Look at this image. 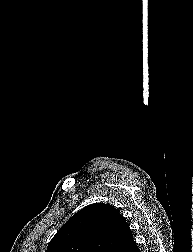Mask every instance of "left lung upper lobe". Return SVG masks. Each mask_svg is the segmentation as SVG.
Returning <instances> with one entry per match:
<instances>
[{
	"instance_id": "obj_1",
	"label": "left lung upper lobe",
	"mask_w": 193,
	"mask_h": 252,
	"mask_svg": "<svg viewBox=\"0 0 193 252\" xmlns=\"http://www.w3.org/2000/svg\"><path fill=\"white\" fill-rule=\"evenodd\" d=\"M132 236L118 210L95 203L73 215L49 242L46 252H123Z\"/></svg>"
}]
</instances>
